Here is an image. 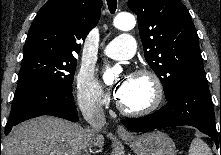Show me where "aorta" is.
I'll return each instance as SVG.
<instances>
[{"instance_id": "obj_1", "label": "aorta", "mask_w": 221, "mask_h": 155, "mask_svg": "<svg viewBox=\"0 0 221 155\" xmlns=\"http://www.w3.org/2000/svg\"><path fill=\"white\" fill-rule=\"evenodd\" d=\"M136 24L135 18L131 14H118L114 19V26L122 31H129L134 28ZM119 71V67L107 68L103 74L105 83L112 82L115 74Z\"/></svg>"}]
</instances>
